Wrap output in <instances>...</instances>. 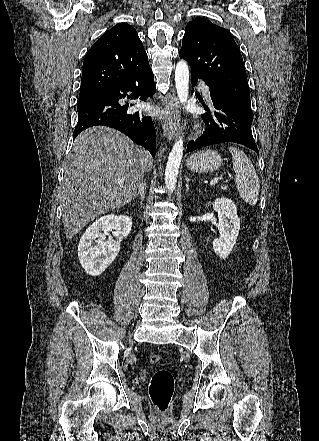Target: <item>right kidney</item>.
Instances as JSON below:
<instances>
[{
  "instance_id": "ca27d5eb",
  "label": "right kidney",
  "mask_w": 319,
  "mask_h": 441,
  "mask_svg": "<svg viewBox=\"0 0 319 441\" xmlns=\"http://www.w3.org/2000/svg\"><path fill=\"white\" fill-rule=\"evenodd\" d=\"M131 228L130 217L109 214L100 217L86 229L78 245V258L87 274L101 275L120 251V241H107L106 234L115 230L123 238L128 236Z\"/></svg>"
}]
</instances>
